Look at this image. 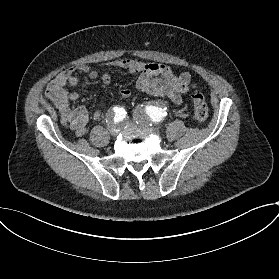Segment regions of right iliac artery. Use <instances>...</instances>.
<instances>
[{"label":"right iliac artery","instance_id":"82829eb1","mask_svg":"<svg viewBox=\"0 0 279 279\" xmlns=\"http://www.w3.org/2000/svg\"><path fill=\"white\" fill-rule=\"evenodd\" d=\"M111 116L114 120V123L116 124L125 119L126 112L122 107L115 106L111 110Z\"/></svg>","mask_w":279,"mask_h":279}]
</instances>
